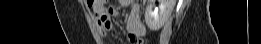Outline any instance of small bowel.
<instances>
[{"label": "small bowel", "mask_w": 261, "mask_h": 44, "mask_svg": "<svg viewBox=\"0 0 261 44\" xmlns=\"http://www.w3.org/2000/svg\"><path fill=\"white\" fill-rule=\"evenodd\" d=\"M132 2L127 0L119 1L118 7L109 8L105 4H96L93 6L95 19L97 21L99 32L102 36H106L113 29V23L110 16H115L119 13V8L126 7ZM128 41L136 43L145 35L146 28L141 19L140 5L132 3L131 12L126 23Z\"/></svg>", "instance_id": "small-bowel-1"}]
</instances>
